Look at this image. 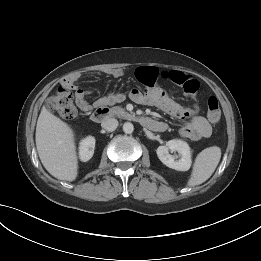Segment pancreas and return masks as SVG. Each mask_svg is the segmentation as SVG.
I'll return each mask as SVG.
<instances>
[{
    "instance_id": "cf45deb5",
    "label": "pancreas",
    "mask_w": 261,
    "mask_h": 261,
    "mask_svg": "<svg viewBox=\"0 0 261 261\" xmlns=\"http://www.w3.org/2000/svg\"><path fill=\"white\" fill-rule=\"evenodd\" d=\"M117 113H119V114H127V113L125 112V110L122 109V108H118V109H117Z\"/></svg>"
}]
</instances>
